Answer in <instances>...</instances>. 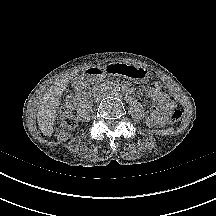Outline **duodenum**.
<instances>
[{"instance_id":"obj_1","label":"duodenum","mask_w":216,"mask_h":216,"mask_svg":"<svg viewBox=\"0 0 216 216\" xmlns=\"http://www.w3.org/2000/svg\"><path fill=\"white\" fill-rule=\"evenodd\" d=\"M107 71V69L104 68H91L87 71L88 75L91 76H102L103 74H105ZM124 89L127 91H131V87L130 86H124ZM96 93H98V91H96ZM90 94L89 93H77L74 94L70 99H69V103L72 104V106H76V105H80L82 104L84 101H86L89 98Z\"/></svg>"}]
</instances>
